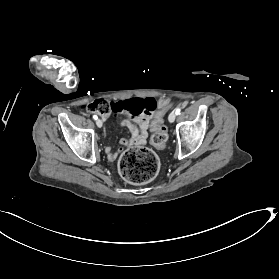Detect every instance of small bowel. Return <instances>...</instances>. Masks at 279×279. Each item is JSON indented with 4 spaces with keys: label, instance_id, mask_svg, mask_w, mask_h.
Returning a JSON list of instances; mask_svg holds the SVG:
<instances>
[{
    "label": "small bowel",
    "instance_id": "obj_1",
    "mask_svg": "<svg viewBox=\"0 0 279 279\" xmlns=\"http://www.w3.org/2000/svg\"><path fill=\"white\" fill-rule=\"evenodd\" d=\"M152 118V113H146L139 116L128 117L120 122L122 127H126L130 131V137L119 141L120 147L116 152H113L111 147L106 148V153L109 160H115L123 147L132 145H141L145 142L148 134L149 123Z\"/></svg>",
    "mask_w": 279,
    "mask_h": 279
}]
</instances>
